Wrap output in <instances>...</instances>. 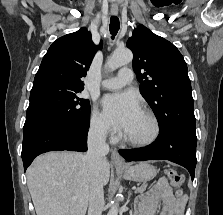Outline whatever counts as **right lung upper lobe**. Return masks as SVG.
I'll list each match as a JSON object with an SVG mask.
<instances>
[{"label":"right lung upper lobe","mask_w":223,"mask_h":215,"mask_svg":"<svg viewBox=\"0 0 223 215\" xmlns=\"http://www.w3.org/2000/svg\"><path fill=\"white\" fill-rule=\"evenodd\" d=\"M102 47L100 43L99 48ZM98 47L86 28L57 39L43 57L35 75L31 93L40 91H69L79 93L84 89L81 80Z\"/></svg>","instance_id":"1"}]
</instances>
